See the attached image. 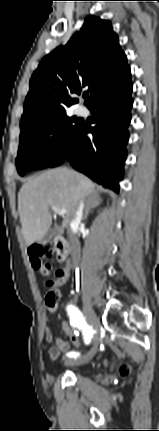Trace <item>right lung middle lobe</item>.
<instances>
[{
    "label": "right lung middle lobe",
    "mask_w": 159,
    "mask_h": 431,
    "mask_svg": "<svg viewBox=\"0 0 159 431\" xmlns=\"http://www.w3.org/2000/svg\"><path fill=\"white\" fill-rule=\"evenodd\" d=\"M80 124L79 119L63 112L22 130L16 158L18 173L48 167Z\"/></svg>",
    "instance_id": "1"
}]
</instances>
